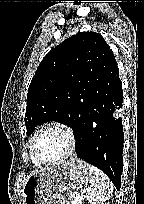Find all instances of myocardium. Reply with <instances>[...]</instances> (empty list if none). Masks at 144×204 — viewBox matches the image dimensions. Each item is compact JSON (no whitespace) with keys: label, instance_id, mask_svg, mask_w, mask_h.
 <instances>
[{"label":"myocardium","instance_id":"myocardium-1","mask_svg":"<svg viewBox=\"0 0 144 204\" xmlns=\"http://www.w3.org/2000/svg\"><path fill=\"white\" fill-rule=\"evenodd\" d=\"M50 129H57L62 131L67 139H68V150L67 152L61 156L60 158L56 159V160H52V161H43L41 159L38 158L37 154H36V143L38 141V138L40 137V135ZM77 144H78V138H77V134L74 130V128L65 123V122H61V121H54L51 123H48L46 125H44L42 128H40L37 133L35 134L32 143H31V155L33 157V159L39 164V165H56V164H60L66 160H68L76 151L77 149Z\"/></svg>","mask_w":144,"mask_h":204}]
</instances>
